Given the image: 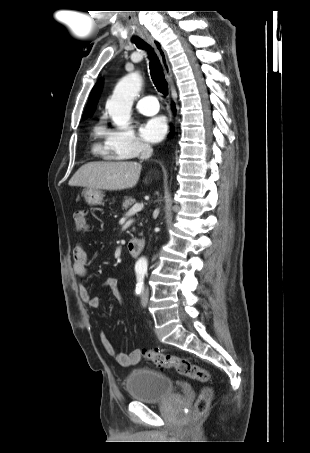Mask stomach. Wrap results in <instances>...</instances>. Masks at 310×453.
Returning a JSON list of instances; mask_svg holds the SVG:
<instances>
[{"label":"stomach","mask_w":310,"mask_h":453,"mask_svg":"<svg viewBox=\"0 0 310 453\" xmlns=\"http://www.w3.org/2000/svg\"><path fill=\"white\" fill-rule=\"evenodd\" d=\"M83 196L85 198L86 203L90 206L100 205L103 200L102 191L99 189L87 188L83 191Z\"/></svg>","instance_id":"obj_1"}]
</instances>
